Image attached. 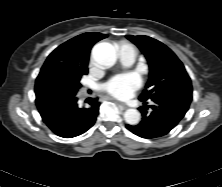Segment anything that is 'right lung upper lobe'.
Masks as SVG:
<instances>
[{
	"instance_id": "1",
	"label": "right lung upper lobe",
	"mask_w": 222,
	"mask_h": 187,
	"mask_svg": "<svg viewBox=\"0 0 222 187\" xmlns=\"http://www.w3.org/2000/svg\"><path fill=\"white\" fill-rule=\"evenodd\" d=\"M106 34L88 32L78 35L57 47L47 58L43 68L58 67L60 62L87 67L92 46Z\"/></svg>"
}]
</instances>
